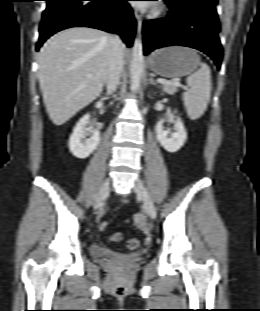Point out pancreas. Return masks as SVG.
Masks as SVG:
<instances>
[{"instance_id": "1", "label": "pancreas", "mask_w": 260, "mask_h": 311, "mask_svg": "<svg viewBox=\"0 0 260 311\" xmlns=\"http://www.w3.org/2000/svg\"><path fill=\"white\" fill-rule=\"evenodd\" d=\"M177 87L176 85H171V84H162V89L164 92L174 95L177 92Z\"/></svg>"}]
</instances>
